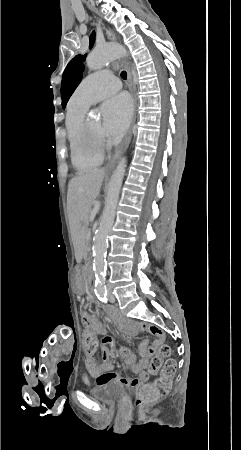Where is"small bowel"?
<instances>
[{
    "instance_id": "c3829d8e",
    "label": "small bowel",
    "mask_w": 241,
    "mask_h": 450,
    "mask_svg": "<svg viewBox=\"0 0 241 450\" xmlns=\"http://www.w3.org/2000/svg\"><path fill=\"white\" fill-rule=\"evenodd\" d=\"M81 316L84 319V333L103 332L102 324L92 316L91 309H82ZM120 331L128 338L136 336L140 331H146L153 336L154 340L144 339L139 345L140 359L128 347H115L110 336L102 339L101 363H97L95 356L90 361H85L87 373L95 379V385L100 388L109 389L111 386L120 385L129 388H137L141 383L147 381L152 372L149 370V362L155 356L157 349L165 340V333L162 328L142 321L126 320L120 325ZM110 348L121 357L124 363L136 375L135 377H125L113 371L114 365L111 361Z\"/></svg>"
}]
</instances>
